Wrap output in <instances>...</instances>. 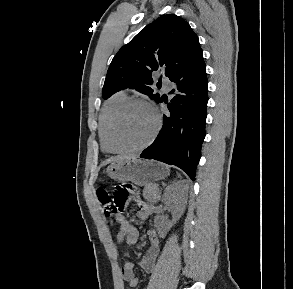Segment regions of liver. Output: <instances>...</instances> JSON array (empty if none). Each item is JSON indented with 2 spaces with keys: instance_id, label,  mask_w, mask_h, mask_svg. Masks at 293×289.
<instances>
[{
  "instance_id": "liver-1",
  "label": "liver",
  "mask_w": 293,
  "mask_h": 289,
  "mask_svg": "<svg viewBox=\"0 0 293 289\" xmlns=\"http://www.w3.org/2000/svg\"><path fill=\"white\" fill-rule=\"evenodd\" d=\"M130 158H135V156H130V155H124V156H117L111 159H108L105 164H108L110 162H116V161H121V160H126V159H130Z\"/></svg>"
}]
</instances>
